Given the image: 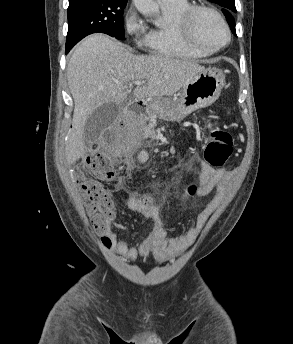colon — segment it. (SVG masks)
<instances>
[{
    "instance_id": "5ec220e1",
    "label": "colon",
    "mask_w": 293,
    "mask_h": 344,
    "mask_svg": "<svg viewBox=\"0 0 293 344\" xmlns=\"http://www.w3.org/2000/svg\"><path fill=\"white\" fill-rule=\"evenodd\" d=\"M210 113L205 118H211ZM233 150L232 136L216 126H213L204 152V160L212 168H219L226 164ZM87 166L91 173L99 179L111 180L117 175L115 162L105 153L98 152L88 157ZM197 188L190 189L192 194ZM85 206L90 222L97 232H103L108 221L114 218V202L109 191L97 181H87L82 185ZM146 205H154L159 202V197L147 195L140 198Z\"/></svg>"
}]
</instances>
